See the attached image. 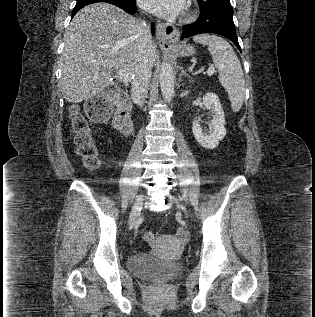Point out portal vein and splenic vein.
I'll return each instance as SVG.
<instances>
[{
  "instance_id": "18ae733b",
  "label": "portal vein and splenic vein",
  "mask_w": 315,
  "mask_h": 317,
  "mask_svg": "<svg viewBox=\"0 0 315 317\" xmlns=\"http://www.w3.org/2000/svg\"><path fill=\"white\" fill-rule=\"evenodd\" d=\"M214 72H215V69L210 68V69L207 71V74H208L209 76H211V75L214 74ZM118 77H119L123 82H127V81H128V79H127L128 75H126L122 69H120V70L118 71Z\"/></svg>"
}]
</instances>
